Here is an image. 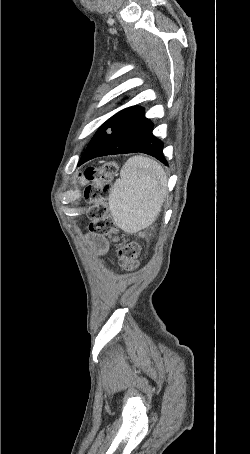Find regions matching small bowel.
Segmentation results:
<instances>
[{
	"label": "small bowel",
	"instance_id": "c3829d8e",
	"mask_svg": "<svg viewBox=\"0 0 250 454\" xmlns=\"http://www.w3.org/2000/svg\"><path fill=\"white\" fill-rule=\"evenodd\" d=\"M89 239L97 253L103 254L108 250V243L103 236L93 234Z\"/></svg>",
	"mask_w": 250,
	"mask_h": 454
}]
</instances>
